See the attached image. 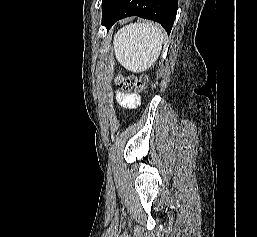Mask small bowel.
Wrapping results in <instances>:
<instances>
[{"instance_id": "obj_1", "label": "small bowel", "mask_w": 257, "mask_h": 237, "mask_svg": "<svg viewBox=\"0 0 257 237\" xmlns=\"http://www.w3.org/2000/svg\"><path fill=\"white\" fill-rule=\"evenodd\" d=\"M118 101L128 107V108H135L139 104V97L135 94H118Z\"/></svg>"}]
</instances>
